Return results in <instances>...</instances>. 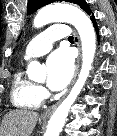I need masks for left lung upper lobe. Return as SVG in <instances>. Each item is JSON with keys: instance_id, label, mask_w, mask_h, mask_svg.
<instances>
[{"instance_id": "obj_1", "label": "left lung upper lobe", "mask_w": 117, "mask_h": 136, "mask_svg": "<svg viewBox=\"0 0 117 136\" xmlns=\"http://www.w3.org/2000/svg\"><path fill=\"white\" fill-rule=\"evenodd\" d=\"M79 5L88 15L91 14L89 5L85 0H65ZM54 2V0H28V14H32L37 11L40 7Z\"/></svg>"}]
</instances>
